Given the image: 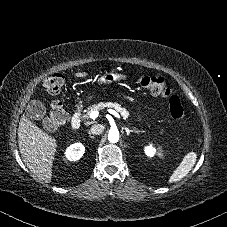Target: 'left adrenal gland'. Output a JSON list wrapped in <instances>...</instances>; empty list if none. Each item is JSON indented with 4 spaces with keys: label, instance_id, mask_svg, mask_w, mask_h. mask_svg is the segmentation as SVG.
Returning a JSON list of instances; mask_svg holds the SVG:
<instances>
[{
    "label": "left adrenal gland",
    "instance_id": "1",
    "mask_svg": "<svg viewBox=\"0 0 227 227\" xmlns=\"http://www.w3.org/2000/svg\"><path fill=\"white\" fill-rule=\"evenodd\" d=\"M124 129H125V131H126V133H127V136H129L130 133H132V132H135V133L141 132L140 130H135V129H131V130H130V129L127 128V127H125Z\"/></svg>",
    "mask_w": 227,
    "mask_h": 227
}]
</instances>
